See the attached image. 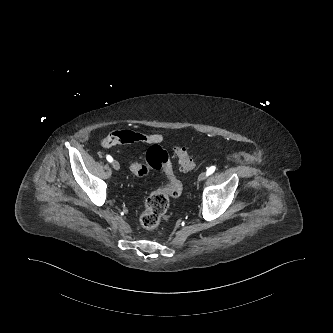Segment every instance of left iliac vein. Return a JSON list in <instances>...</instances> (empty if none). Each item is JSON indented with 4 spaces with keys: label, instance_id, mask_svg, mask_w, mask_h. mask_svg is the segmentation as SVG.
Listing matches in <instances>:
<instances>
[{
    "label": "left iliac vein",
    "instance_id": "left-iliac-vein-1",
    "mask_svg": "<svg viewBox=\"0 0 333 333\" xmlns=\"http://www.w3.org/2000/svg\"><path fill=\"white\" fill-rule=\"evenodd\" d=\"M206 177V173L205 172H201L197 178L198 182L203 181Z\"/></svg>",
    "mask_w": 333,
    "mask_h": 333
}]
</instances>
